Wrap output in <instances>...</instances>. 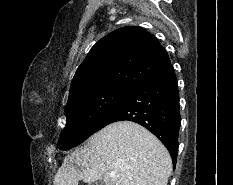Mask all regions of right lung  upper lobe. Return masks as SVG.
Here are the masks:
<instances>
[{"label":"right lung upper lobe","mask_w":233,"mask_h":185,"mask_svg":"<svg viewBox=\"0 0 233 185\" xmlns=\"http://www.w3.org/2000/svg\"><path fill=\"white\" fill-rule=\"evenodd\" d=\"M171 64L158 40L141 27L117 29L90 50L71 82L68 101L98 89H132Z\"/></svg>","instance_id":"cb5924a9"}]
</instances>
